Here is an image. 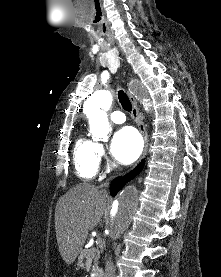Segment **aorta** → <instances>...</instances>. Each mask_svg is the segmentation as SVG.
Here are the masks:
<instances>
[{"instance_id": "762f6f07", "label": "aorta", "mask_w": 221, "mask_h": 277, "mask_svg": "<svg viewBox=\"0 0 221 277\" xmlns=\"http://www.w3.org/2000/svg\"><path fill=\"white\" fill-rule=\"evenodd\" d=\"M113 95L110 90L95 92L86 102L85 113L89 119L90 132L106 139L111 127L106 111L110 108ZM138 208V191L133 186L126 187L113 200L110 210V219L104 231L108 238L119 237L132 222Z\"/></svg>"}]
</instances>
